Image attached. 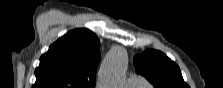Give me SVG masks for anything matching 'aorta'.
Returning <instances> with one entry per match:
<instances>
[{
    "mask_svg": "<svg viewBox=\"0 0 223 88\" xmlns=\"http://www.w3.org/2000/svg\"><path fill=\"white\" fill-rule=\"evenodd\" d=\"M127 64L126 50L122 47L113 48L101 65V86L103 88H123Z\"/></svg>",
    "mask_w": 223,
    "mask_h": 88,
    "instance_id": "aorta-1",
    "label": "aorta"
}]
</instances>
